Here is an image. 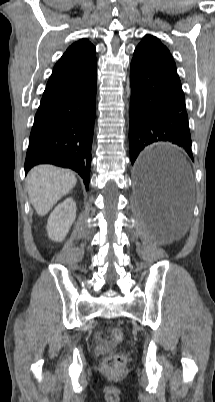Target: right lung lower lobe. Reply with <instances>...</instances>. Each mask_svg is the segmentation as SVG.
Returning <instances> with one entry per match:
<instances>
[{
    "label": "right lung lower lobe",
    "instance_id": "right-lung-lower-lobe-1",
    "mask_svg": "<svg viewBox=\"0 0 215 402\" xmlns=\"http://www.w3.org/2000/svg\"><path fill=\"white\" fill-rule=\"evenodd\" d=\"M97 74L83 85L41 102L31 130L25 172L42 163L71 168L89 187Z\"/></svg>",
    "mask_w": 215,
    "mask_h": 402
}]
</instances>
